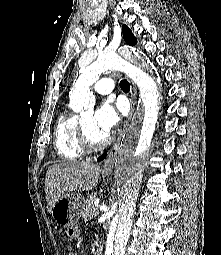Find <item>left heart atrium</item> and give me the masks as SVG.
<instances>
[{"label":"left heart atrium","mask_w":221,"mask_h":255,"mask_svg":"<svg viewBox=\"0 0 221 255\" xmlns=\"http://www.w3.org/2000/svg\"><path fill=\"white\" fill-rule=\"evenodd\" d=\"M122 112V109H120ZM120 115L115 107L110 103H104L94 114V125L103 134L108 136L118 125Z\"/></svg>","instance_id":"39dd6f15"}]
</instances>
